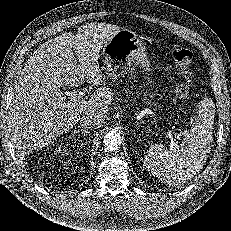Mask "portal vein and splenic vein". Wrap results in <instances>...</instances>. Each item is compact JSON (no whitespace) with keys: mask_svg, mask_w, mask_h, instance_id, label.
<instances>
[{"mask_svg":"<svg viewBox=\"0 0 231 231\" xmlns=\"http://www.w3.org/2000/svg\"><path fill=\"white\" fill-rule=\"evenodd\" d=\"M83 95H84V91H78V92H74L72 94V101H82L84 100L85 98H83ZM168 136L171 137L172 134L171 133H168ZM172 145H175V140L172 138Z\"/></svg>","mask_w":231,"mask_h":231,"instance_id":"18ae733b","label":"portal vein and splenic vein"}]
</instances>
